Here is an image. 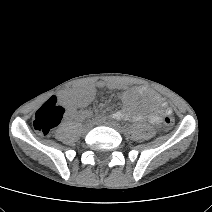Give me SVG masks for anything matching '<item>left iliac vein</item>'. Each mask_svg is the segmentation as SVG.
Returning a JSON list of instances; mask_svg holds the SVG:
<instances>
[{
  "mask_svg": "<svg viewBox=\"0 0 212 212\" xmlns=\"http://www.w3.org/2000/svg\"><path fill=\"white\" fill-rule=\"evenodd\" d=\"M105 125L114 128L115 130H117L119 133L123 134L125 132V130L123 129V127H121L117 122L114 121H107L104 122Z\"/></svg>",
  "mask_w": 212,
  "mask_h": 212,
  "instance_id": "obj_1",
  "label": "left iliac vein"
}]
</instances>
